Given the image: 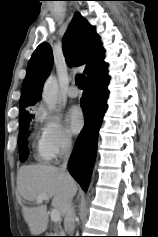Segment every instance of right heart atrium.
<instances>
[{
	"label": "right heart atrium",
	"mask_w": 158,
	"mask_h": 237,
	"mask_svg": "<svg viewBox=\"0 0 158 237\" xmlns=\"http://www.w3.org/2000/svg\"><path fill=\"white\" fill-rule=\"evenodd\" d=\"M40 138L44 152L53 159L60 157L72 142L71 135L55 115L43 117Z\"/></svg>",
	"instance_id": "1"
}]
</instances>
